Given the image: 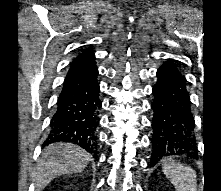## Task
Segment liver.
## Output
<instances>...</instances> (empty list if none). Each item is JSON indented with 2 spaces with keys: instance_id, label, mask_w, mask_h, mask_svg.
<instances>
[{
  "instance_id": "1",
  "label": "liver",
  "mask_w": 221,
  "mask_h": 191,
  "mask_svg": "<svg viewBox=\"0 0 221 191\" xmlns=\"http://www.w3.org/2000/svg\"><path fill=\"white\" fill-rule=\"evenodd\" d=\"M90 160V154L74 144L49 145L34 173L36 191H42L57 176L83 171Z\"/></svg>"
}]
</instances>
